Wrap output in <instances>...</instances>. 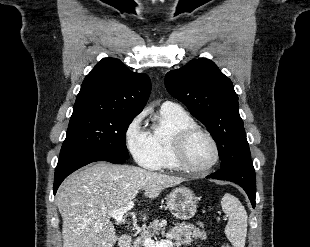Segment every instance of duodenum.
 I'll return each instance as SVG.
<instances>
[{
  "label": "duodenum",
  "instance_id": "410a0bca",
  "mask_svg": "<svg viewBox=\"0 0 310 247\" xmlns=\"http://www.w3.org/2000/svg\"><path fill=\"white\" fill-rule=\"evenodd\" d=\"M119 247H130L131 237L129 235H122L118 242Z\"/></svg>",
  "mask_w": 310,
  "mask_h": 247
}]
</instances>
